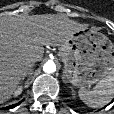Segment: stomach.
<instances>
[{
    "label": "stomach",
    "mask_w": 114,
    "mask_h": 114,
    "mask_svg": "<svg viewBox=\"0 0 114 114\" xmlns=\"http://www.w3.org/2000/svg\"><path fill=\"white\" fill-rule=\"evenodd\" d=\"M64 74L75 86L87 87L114 71V44L93 28L73 32L59 48Z\"/></svg>",
    "instance_id": "stomach-1"
}]
</instances>
